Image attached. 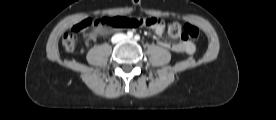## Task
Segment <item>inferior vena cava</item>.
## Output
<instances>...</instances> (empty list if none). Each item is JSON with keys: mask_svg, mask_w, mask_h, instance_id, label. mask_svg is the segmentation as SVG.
Wrapping results in <instances>:
<instances>
[{"mask_svg": "<svg viewBox=\"0 0 276 120\" xmlns=\"http://www.w3.org/2000/svg\"><path fill=\"white\" fill-rule=\"evenodd\" d=\"M125 39H126V35H124V34H115L112 37L111 41H112V43H118V42L123 41Z\"/></svg>", "mask_w": 276, "mask_h": 120, "instance_id": "obj_1", "label": "inferior vena cava"}]
</instances>
